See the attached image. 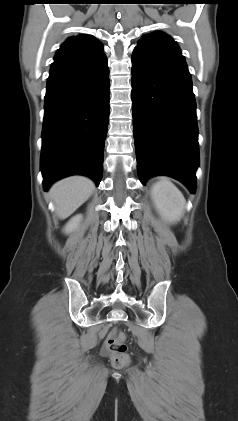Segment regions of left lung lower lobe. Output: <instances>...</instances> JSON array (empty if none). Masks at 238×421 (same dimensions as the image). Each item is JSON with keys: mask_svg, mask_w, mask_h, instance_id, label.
I'll use <instances>...</instances> for the list:
<instances>
[{"mask_svg": "<svg viewBox=\"0 0 238 421\" xmlns=\"http://www.w3.org/2000/svg\"><path fill=\"white\" fill-rule=\"evenodd\" d=\"M132 108L137 169L142 184L167 175L195 192L199 165L196 103L180 53L132 54Z\"/></svg>", "mask_w": 238, "mask_h": 421, "instance_id": "1", "label": "left lung lower lobe"}]
</instances>
